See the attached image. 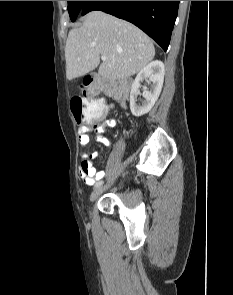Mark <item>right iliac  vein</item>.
Here are the masks:
<instances>
[{"instance_id":"obj_1","label":"right iliac vein","mask_w":233,"mask_h":295,"mask_svg":"<svg viewBox=\"0 0 233 295\" xmlns=\"http://www.w3.org/2000/svg\"><path fill=\"white\" fill-rule=\"evenodd\" d=\"M104 189L105 186L103 185V181L97 182V185L90 195V202H93L104 191Z\"/></svg>"}]
</instances>
